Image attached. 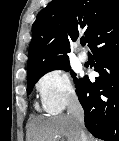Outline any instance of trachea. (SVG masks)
<instances>
[{
  "label": "trachea",
  "mask_w": 119,
  "mask_h": 141,
  "mask_svg": "<svg viewBox=\"0 0 119 141\" xmlns=\"http://www.w3.org/2000/svg\"><path fill=\"white\" fill-rule=\"evenodd\" d=\"M85 44H86V40H81V45L85 46Z\"/></svg>",
  "instance_id": "obj_1"
}]
</instances>
